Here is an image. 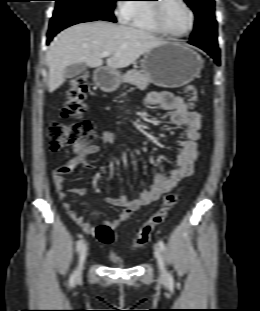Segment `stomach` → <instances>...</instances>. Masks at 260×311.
<instances>
[{
	"label": "stomach",
	"mask_w": 260,
	"mask_h": 311,
	"mask_svg": "<svg viewBox=\"0 0 260 311\" xmlns=\"http://www.w3.org/2000/svg\"><path fill=\"white\" fill-rule=\"evenodd\" d=\"M203 68L201 56L180 43L167 42L144 54L141 69L151 83L165 87L184 86L199 76ZM119 71L104 69L95 76L96 84L106 92L115 91L121 81Z\"/></svg>",
	"instance_id": "1"
}]
</instances>
